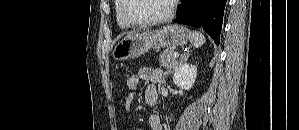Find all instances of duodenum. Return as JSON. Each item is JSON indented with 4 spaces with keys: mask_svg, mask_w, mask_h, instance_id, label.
Here are the masks:
<instances>
[{
    "mask_svg": "<svg viewBox=\"0 0 299 130\" xmlns=\"http://www.w3.org/2000/svg\"><path fill=\"white\" fill-rule=\"evenodd\" d=\"M146 101L149 105H154L157 101V94H150Z\"/></svg>",
    "mask_w": 299,
    "mask_h": 130,
    "instance_id": "410a0bca",
    "label": "duodenum"
}]
</instances>
